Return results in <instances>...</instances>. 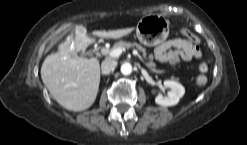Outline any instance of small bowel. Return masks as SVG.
<instances>
[{
    "instance_id": "small-bowel-1",
    "label": "small bowel",
    "mask_w": 247,
    "mask_h": 145,
    "mask_svg": "<svg viewBox=\"0 0 247 145\" xmlns=\"http://www.w3.org/2000/svg\"><path fill=\"white\" fill-rule=\"evenodd\" d=\"M199 38H173L166 40L155 48L154 56L160 62L171 64L179 61H191L201 59L202 51L199 47Z\"/></svg>"
}]
</instances>
